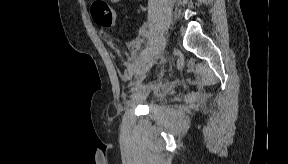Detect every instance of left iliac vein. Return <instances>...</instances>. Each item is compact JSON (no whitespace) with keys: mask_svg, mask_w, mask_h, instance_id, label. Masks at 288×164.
Segmentation results:
<instances>
[{"mask_svg":"<svg viewBox=\"0 0 288 164\" xmlns=\"http://www.w3.org/2000/svg\"><path fill=\"white\" fill-rule=\"evenodd\" d=\"M166 43H167L166 36H161L158 43L155 46L152 57L149 60L141 64L139 68V72H138L139 75L145 74L149 70V68L152 66V64H154L157 61L160 53L165 49Z\"/></svg>","mask_w":288,"mask_h":164,"instance_id":"1","label":"left iliac vein"}]
</instances>
